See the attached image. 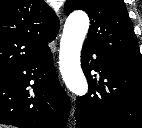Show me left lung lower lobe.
I'll return each mask as SVG.
<instances>
[{
    "instance_id": "0a47b994",
    "label": "left lung lower lobe",
    "mask_w": 142,
    "mask_h": 128,
    "mask_svg": "<svg viewBox=\"0 0 142 128\" xmlns=\"http://www.w3.org/2000/svg\"><path fill=\"white\" fill-rule=\"evenodd\" d=\"M81 66L90 90L76 99V128H142V71L116 66L87 44ZM92 70L101 71L98 83Z\"/></svg>"
}]
</instances>
